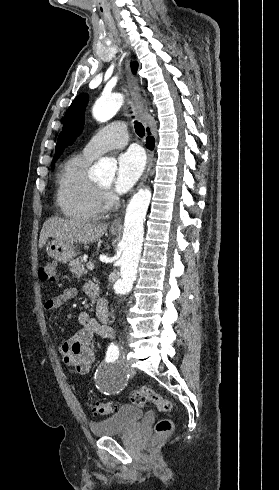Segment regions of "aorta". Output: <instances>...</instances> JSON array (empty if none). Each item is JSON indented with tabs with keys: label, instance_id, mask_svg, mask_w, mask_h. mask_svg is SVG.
<instances>
[{
	"label": "aorta",
	"instance_id": "1",
	"mask_svg": "<svg viewBox=\"0 0 279 490\" xmlns=\"http://www.w3.org/2000/svg\"><path fill=\"white\" fill-rule=\"evenodd\" d=\"M122 104L121 94L101 97L93 106V116L99 122H106L118 112ZM115 170L116 164L109 158H102L93 167V172L99 179L113 177ZM150 201L151 191L141 189L134 194L127 206L121 241L123 252L119 260L120 278L113 286L117 294L129 293L133 287L142 250L144 221Z\"/></svg>",
	"mask_w": 279,
	"mask_h": 490
}]
</instances>
